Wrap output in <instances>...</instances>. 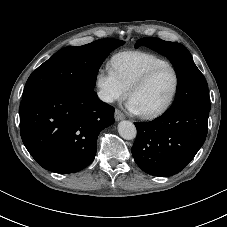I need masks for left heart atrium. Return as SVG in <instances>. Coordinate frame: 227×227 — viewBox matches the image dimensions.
Listing matches in <instances>:
<instances>
[{
  "label": "left heart atrium",
  "instance_id": "left-heart-atrium-1",
  "mask_svg": "<svg viewBox=\"0 0 227 227\" xmlns=\"http://www.w3.org/2000/svg\"><path fill=\"white\" fill-rule=\"evenodd\" d=\"M127 107L130 111L138 113V109L136 108V106L134 105V103L129 99L128 103H127Z\"/></svg>",
  "mask_w": 227,
  "mask_h": 227
}]
</instances>
